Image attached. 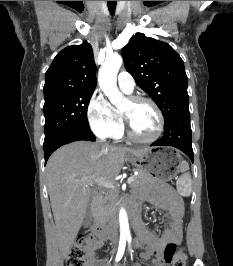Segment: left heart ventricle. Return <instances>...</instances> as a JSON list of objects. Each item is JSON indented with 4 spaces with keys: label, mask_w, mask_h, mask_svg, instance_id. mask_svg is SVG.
I'll return each mask as SVG.
<instances>
[{
    "label": "left heart ventricle",
    "mask_w": 233,
    "mask_h": 266,
    "mask_svg": "<svg viewBox=\"0 0 233 266\" xmlns=\"http://www.w3.org/2000/svg\"><path fill=\"white\" fill-rule=\"evenodd\" d=\"M128 116L134 133L142 138H149L156 133L158 117L148 103L131 104L128 100L121 107Z\"/></svg>",
    "instance_id": "left-heart-ventricle-1"
}]
</instances>
